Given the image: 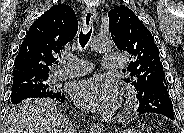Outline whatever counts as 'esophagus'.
Listing matches in <instances>:
<instances>
[{"label":"esophagus","instance_id":"1","mask_svg":"<svg viewBox=\"0 0 184 133\" xmlns=\"http://www.w3.org/2000/svg\"><path fill=\"white\" fill-rule=\"evenodd\" d=\"M96 19V11L93 7H87L83 11V16H82V25L83 28L86 30L88 29L91 24L95 21ZM92 132L100 133L101 132V127L97 124H94L91 127Z\"/></svg>","mask_w":184,"mask_h":133}]
</instances>
